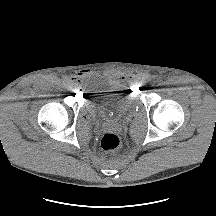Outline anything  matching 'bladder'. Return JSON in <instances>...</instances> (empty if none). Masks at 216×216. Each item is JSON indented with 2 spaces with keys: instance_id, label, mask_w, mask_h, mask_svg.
<instances>
[{
  "instance_id": "obj_1",
  "label": "bladder",
  "mask_w": 216,
  "mask_h": 216,
  "mask_svg": "<svg viewBox=\"0 0 216 216\" xmlns=\"http://www.w3.org/2000/svg\"><path fill=\"white\" fill-rule=\"evenodd\" d=\"M90 106L94 113L112 118L133 111L136 98L130 93L108 91L94 96Z\"/></svg>"
}]
</instances>
